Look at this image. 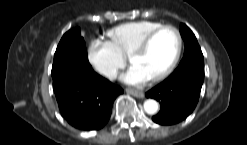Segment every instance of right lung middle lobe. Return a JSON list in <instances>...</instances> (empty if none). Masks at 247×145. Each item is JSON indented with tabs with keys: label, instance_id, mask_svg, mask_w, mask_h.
<instances>
[{
	"label": "right lung middle lobe",
	"instance_id": "obj_1",
	"mask_svg": "<svg viewBox=\"0 0 247 145\" xmlns=\"http://www.w3.org/2000/svg\"><path fill=\"white\" fill-rule=\"evenodd\" d=\"M73 59L88 60L80 28H73L63 35L54 55L52 70Z\"/></svg>",
	"mask_w": 247,
	"mask_h": 145
}]
</instances>
